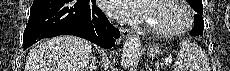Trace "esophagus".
Segmentation results:
<instances>
[{
    "label": "esophagus",
    "mask_w": 230,
    "mask_h": 71,
    "mask_svg": "<svg viewBox=\"0 0 230 71\" xmlns=\"http://www.w3.org/2000/svg\"><path fill=\"white\" fill-rule=\"evenodd\" d=\"M131 34H132L131 30L128 29V28H123L121 30V36H122V38L127 39V38H129L131 36Z\"/></svg>",
    "instance_id": "obj_1"
}]
</instances>
